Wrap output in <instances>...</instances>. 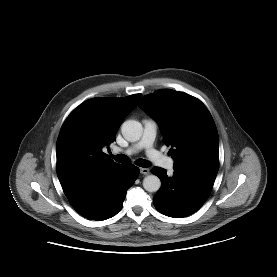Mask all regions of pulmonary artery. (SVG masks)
I'll use <instances>...</instances> for the list:
<instances>
[{
  "instance_id": "1",
  "label": "pulmonary artery",
  "mask_w": 277,
  "mask_h": 277,
  "mask_svg": "<svg viewBox=\"0 0 277 277\" xmlns=\"http://www.w3.org/2000/svg\"><path fill=\"white\" fill-rule=\"evenodd\" d=\"M143 126V134L139 142L125 150L117 148L114 151L116 153L123 151L126 154H134L144 149L146 151L148 158L153 163L170 171L173 170L174 160L172 158L165 156L153 147V143L156 136L157 123L152 119H145L143 120Z\"/></svg>"
}]
</instances>
